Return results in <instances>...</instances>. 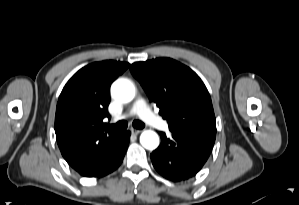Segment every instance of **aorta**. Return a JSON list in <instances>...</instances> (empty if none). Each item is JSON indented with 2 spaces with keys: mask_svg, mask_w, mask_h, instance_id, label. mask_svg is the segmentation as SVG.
<instances>
[{
  "mask_svg": "<svg viewBox=\"0 0 299 205\" xmlns=\"http://www.w3.org/2000/svg\"><path fill=\"white\" fill-rule=\"evenodd\" d=\"M111 94L116 100L127 103L134 98L135 87L127 79H118L112 84ZM140 143L144 148L154 150L159 145V137L156 132L146 130L140 135Z\"/></svg>",
  "mask_w": 299,
  "mask_h": 205,
  "instance_id": "1",
  "label": "aorta"
}]
</instances>
